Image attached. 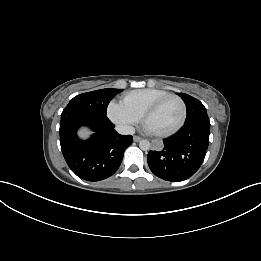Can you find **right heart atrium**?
<instances>
[{
    "label": "right heart atrium",
    "instance_id": "d8ad5b80",
    "mask_svg": "<svg viewBox=\"0 0 261 261\" xmlns=\"http://www.w3.org/2000/svg\"><path fill=\"white\" fill-rule=\"evenodd\" d=\"M109 119L125 131H131L139 117L130 111L122 102L111 101L107 108Z\"/></svg>",
    "mask_w": 261,
    "mask_h": 261
}]
</instances>
